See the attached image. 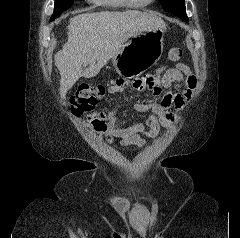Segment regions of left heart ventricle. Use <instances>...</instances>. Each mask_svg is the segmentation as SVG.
<instances>
[{
    "instance_id": "obj_1",
    "label": "left heart ventricle",
    "mask_w": 240,
    "mask_h": 238,
    "mask_svg": "<svg viewBox=\"0 0 240 238\" xmlns=\"http://www.w3.org/2000/svg\"><path fill=\"white\" fill-rule=\"evenodd\" d=\"M132 1H146V0H132Z\"/></svg>"
}]
</instances>
